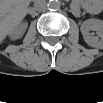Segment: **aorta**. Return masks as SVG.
<instances>
[{"label":"aorta","instance_id":"aorta-1","mask_svg":"<svg viewBox=\"0 0 103 103\" xmlns=\"http://www.w3.org/2000/svg\"><path fill=\"white\" fill-rule=\"evenodd\" d=\"M47 6L50 10H58L61 4L58 0H49Z\"/></svg>","mask_w":103,"mask_h":103}]
</instances>
